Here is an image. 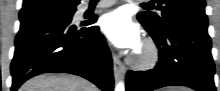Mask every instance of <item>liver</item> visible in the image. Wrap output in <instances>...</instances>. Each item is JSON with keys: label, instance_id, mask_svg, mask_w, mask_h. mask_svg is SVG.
Segmentation results:
<instances>
[{"label": "liver", "instance_id": "liver-1", "mask_svg": "<svg viewBox=\"0 0 220 91\" xmlns=\"http://www.w3.org/2000/svg\"><path fill=\"white\" fill-rule=\"evenodd\" d=\"M19 91H98V88L71 74H42L25 82Z\"/></svg>", "mask_w": 220, "mask_h": 91}]
</instances>
